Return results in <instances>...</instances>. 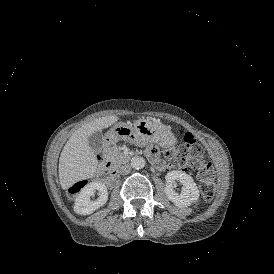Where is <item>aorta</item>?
<instances>
[{"label":"aorta","instance_id":"aorta-1","mask_svg":"<svg viewBox=\"0 0 274 274\" xmlns=\"http://www.w3.org/2000/svg\"><path fill=\"white\" fill-rule=\"evenodd\" d=\"M145 164V159L142 157L137 156L131 159V166L134 169H142L145 166Z\"/></svg>","mask_w":274,"mask_h":274}]
</instances>
